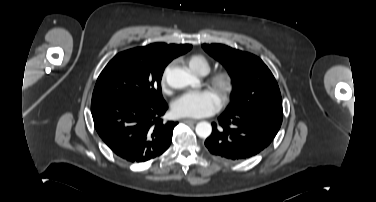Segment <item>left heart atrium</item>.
Returning a JSON list of instances; mask_svg holds the SVG:
<instances>
[{"mask_svg":"<svg viewBox=\"0 0 376 202\" xmlns=\"http://www.w3.org/2000/svg\"><path fill=\"white\" fill-rule=\"evenodd\" d=\"M220 108L218 97L210 90L189 91L172 103L176 117L200 118L214 114Z\"/></svg>","mask_w":376,"mask_h":202,"instance_id":"left-heart-atrium-1","label":"left heart atrium"}]
</instances>
